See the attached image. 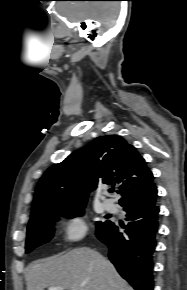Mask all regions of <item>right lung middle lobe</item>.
I'll use <instances>...</instances> for the list:
<instances>
[{
  "mask_svg": "<svg viewBox=\"0 0 187 290\" xmlns=\"http://www.w3.org/2000/svg\"><path fill=\"white\" fill-rule=\"evenodd\" d=\"M83 208L84 207L71 210L54 211L29 223L27 229L26 253L31 252L36 247L48 242L52 238L54 234V222L59 220L60 215L71 218L80 216L84 214ZM107 223H109V221H99L97 223V230L102 228Z\"/></svg>",
  "mask_w": 187,
  "mask_h": 290,
  "instance_id": "dd1d6c3e",
  "label": "right lung middle lobe"
}]
</instances>
